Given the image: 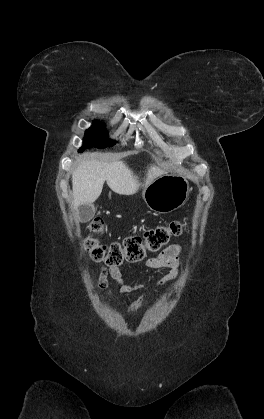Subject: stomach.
<instances>
[{
  "label": "stomach",
  "mask_w": 264,
  "mask_h": 419,
  "mask_svg": "<svg viewBox=\"0 0 264 419\" xmlns=\"http://www.w3.org/2000/svg\"><path fill=\"white\" fill-rule=\"evenodd\" d=\"M189 195V182L179 174H164L145 187L142 197L152 211L166 214L184 205Z\"/></svg>",
  "instance_id": "obj_1"
}]
</instances>
